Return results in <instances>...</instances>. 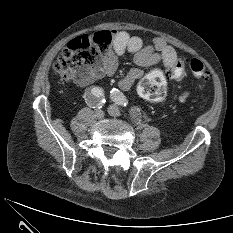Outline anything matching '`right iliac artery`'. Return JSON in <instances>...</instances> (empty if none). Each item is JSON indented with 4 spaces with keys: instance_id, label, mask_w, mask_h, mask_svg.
<instances>
[{
    "instance_id": "1",
    "label": "right iliac artery",
    "mask_w": 233,
    "mask_h": 233,
    "mask_svg": "<svg viewBox=\"0 0 233 233\" xmlns=\"http://www.w3.org/2000/svg\"><path fill=\"white\" fill-rule=\"evenodd\" d=\"M85 100L93 108H102L105 103L103 89L99 87L92 88L85 94Z\"/></svg>"
}]
</instances>
